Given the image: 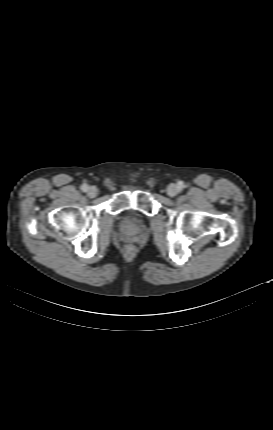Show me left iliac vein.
<instances>
[{"label":"left iliac vein","instance_id":"1","mask_svg":"<svg viewBox=\"0 0 273 430\" xmlns=\"http://www.w3.org/2000/svg\"><path fill=\"white\" fill-rule=\"evenodd\" d=\"M178 187L174 184H170L167 188V194L171 197H174L178 194Z\"/></svg>","mask_w":273,"mask_h":430}]
</instances>
